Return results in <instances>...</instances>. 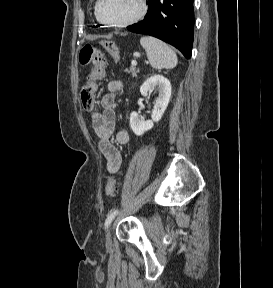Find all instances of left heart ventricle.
Wrapping results in <instances>:
<instances>
[{"mask_svg":"<svg viewBox=\"0 0 273 288\" xmlns=\"http://www.w3.org/2000/svg\"><path fill=\"white\" fill-rule=\"evenodd\" d=\"M139 7V0H103L101 15L109 22L124 21L134 16Z\"/></svg>","mask_w":273,"mask_h":288,"instance_id":"obj_1","label":"left heart ventricle"}]
</instances>
